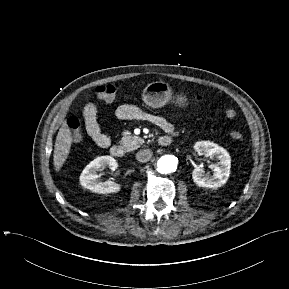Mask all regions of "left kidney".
Masks as SVG:
<instances>
[{
  "label": "left kidney",
  "instance_id": "left-kidney-1",
  "mask_svg": "<svg viewBox=\"0 0 289 289\" xmlns=\"http://www.w3.org/2000/svg\"><path fill=\"white\" fill-rule=\"evenodd\" d=\"M194 149L198 153H205L219 160L218 164L212 166L213 175L205 174L201 167H196L192 172V178L199 187L217 189L225 184L230 175L231 158L228 152L217 144L209 141L196 142Z\"/></svg>",
  "mask_w": 289,
  "mask_h": 289
}]
</instances>
